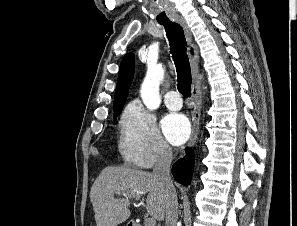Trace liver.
I'll list each match as a JSON object with an SVG mask.
<instances>
[{"instance_id":"6515ba94","label":"liver","mask_w":297,"mask_h":226,"mask_svg":"<svg viewBox=\"0 0 297 226\" xmlns=\"http://www.w3.org/2000/svg\"><path fill=\"white\" fill-rule=\"evenodd\" d=\"M124 193L125 198L114 194ZM147 194L146 210L158 221L164 220L166 190L152 173L127 167H106L95 180L90 200L97 226H117L130 215V199Z\"/></svg>"}]
</instances>
